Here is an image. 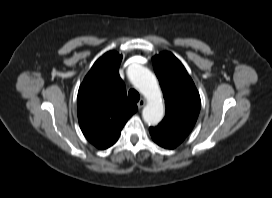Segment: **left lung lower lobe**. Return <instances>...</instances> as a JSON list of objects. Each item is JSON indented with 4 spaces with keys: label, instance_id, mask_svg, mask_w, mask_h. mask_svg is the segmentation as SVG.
<instances>
[{
    "label": "left lung lower lobe",
    "instance_id": "1",
    "mask_svg": "<svg viewBox=\"0 0 272 198\" xmlns=\"http://www.w3.org/2000/svg\"><path fill=\"white\" fill-rule=\"evenodd\" d=\"M149 131L153 140L158 145L168 149L175 148L185 139V136L159 125L156 127H150Z\"/></svg>",
    "mask_w": 272,
    "mask_h": 198
}]
</instances>
